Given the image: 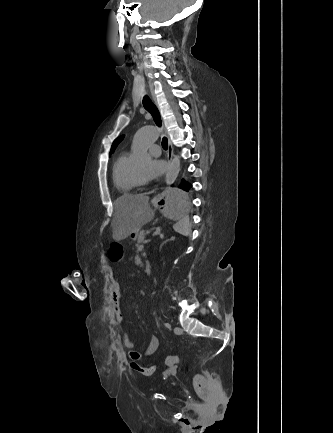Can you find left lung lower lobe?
Returning a JSON list of instances; mask_svg holds the SVG:
<instances>
[{
	"label": "left lung lower lobe",
	"mask_w": 333,
	"mask_h": 433,
	"mask_svg": "<svg viewBox=\"0 0 333 433\" xmlns=\"http://www.w3.org/2000/svg\"><path fill=\"white\" fill-rule=\"evenodd\" d=\"M191 187H192V184L189 183V182H187V181H185V180H182L181 184L179 186V188H181L184 191H189V189ZM167 206L169 207V209H174L177 206V200H176V198L173 197L170 200H168Z\"/></svg>",
	"instance_id": "left-lung-lower-lobe-1"
}]
</instances>
